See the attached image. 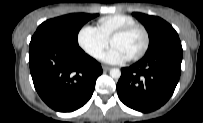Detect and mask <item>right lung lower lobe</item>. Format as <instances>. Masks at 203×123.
Instances as JSON below:
<instances>
[{"mask_svg":"<svg viewBox=\"0 0 203 123\" xmlns=\"http://www.w3.org/2000/svg\"><path fill=\"white\" fill-rule=\"evenodd\" d=\"M29 66L35 89L52 109L71 112L91 98L101 65L80 47L30 42Z\"/></svg>","mask_w":203,"mask_h":123,"instance_id":"obj_1","label":"right lung lower lobe"}]
</instances>
